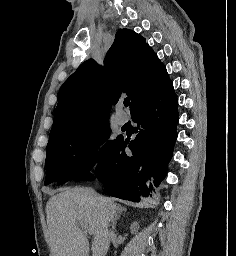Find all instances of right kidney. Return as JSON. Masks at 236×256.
Wrapping results in <instances>:
<instances>
[{
	"label": "right kidney",
	"instance_id": "right-kidney-1",
	"mask_svg": "<svg viewBox=\"0 0 236 256\" xmlns=\"http://www.w3.org/2000/svg\"><path fill=\"white\" fill-rule=\"evenodd\" d=\"M138 222H133L130 226L131 234H135V232H138Z\"/></svg>",
	"mask_w": 236,
	"mask_h": 256
}]
</instances>
